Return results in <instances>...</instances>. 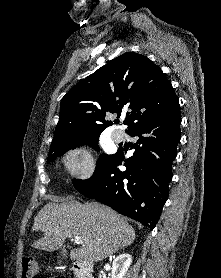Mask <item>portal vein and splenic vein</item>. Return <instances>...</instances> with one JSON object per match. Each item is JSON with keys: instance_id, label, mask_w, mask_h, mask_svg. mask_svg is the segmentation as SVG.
I'll return each mask as SVG.
<instances>
[{"instance_id": "18ae733b", "label": "portal vein and splenic vein", "mask_w": 221, "mask_h": 278, "mask_svg": "<svg viewBox=\"0 0 221 278\" xmlns=\"http://www.w3.org/2000/svg\"><path fill=\"white\" fill-rule=\"evenodd\" d=\"M75 241L79 244H83L84 243V240L81 239L80 237H75Z\"/></svg>"}]
</instances>
